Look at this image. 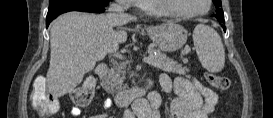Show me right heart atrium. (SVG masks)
<instances>
[{
	"mask_svg": "<svg viewBox=\"0 0 273 118\" xmlns=\"http://www.w3.org/2000/svg\"><path fill=\"white\" fill-rule=\"evenodd\" d=\"M118 3L123 9H130L136 5V0H119Z\"/></svg>",
	"mask_w": 273,
	"mask_h": 118,
	"instance_id": "obj_1",
	"label": "right heart atrium"
}]
</instances>
